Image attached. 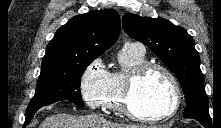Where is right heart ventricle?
<instances>
[{
  "mask_svg": "<svg viewBox=\"0 0 221 128\" xmlns=\"http://www.w3.org/2000/svg\"><path fill=\"white\" fill-rule=\"evenodd\" d=\"M146 62L145 51L126 44L118 53L117 65L108 74V83L102 95L101 107L106 113L123 112V89L130 72Z\"/></svg>",
  "mask_w": 221,
  "mask_h": 128,
  "instance_id": "right-heart-ventricle-1",
  "label": "right heart ventricle"
}]
</instances>
